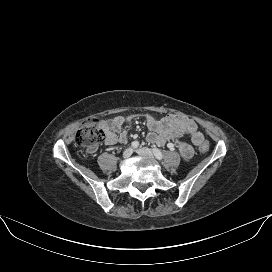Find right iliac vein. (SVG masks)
<instances>
[{"mask_svg": "<svg viewBox=\"0 0 272 272\" xmlns=\"http://www.w3.org/2000/svg\"><path fill=\"white\" fill-rule=\"evenodd\" d=\"M132 153H133L132 148H127V149H125L123 151L122 156H123V158L127 159V158H129L132 155Z\"/></svg>", "mask_w": 272, "mask_h": 272, "instance_id": "obj_1", "label": "right iliac vein"}]
</instances>
